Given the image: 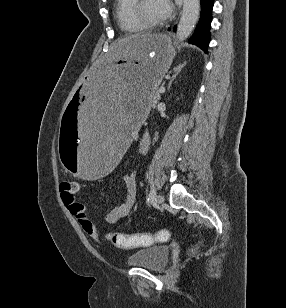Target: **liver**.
<instances>
[{
  "label": "liver",
  "mask_w": 286,
  "mask_h": 308,
  "mask_svg": "<svg viewBox=\"0 0 286 308\" xmlns=\"http://www.w3.org/2000/svg\"><path fill=\"white\" fill-rule=\"evenodd\" d=\"M145 35H148V34H136V35H132V36L126 37V38H124V39L118 40V41L113 45L112 51H114L115 48H116L123 40H127V39L134 38V37L145 36Z\"/></svg>",
  "instance_id": "obj_1"
}]
</instances>
